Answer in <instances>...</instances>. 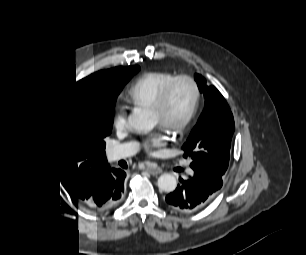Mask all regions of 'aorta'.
<instances>
[{
	"label": "aorta",
	"mask_w": 306,
	"mask_h": 255,
	"mask_svg": "<svg viewBox=\"0 0 306 255\" xmlns=\"http://www.w3.org/2000/svg\"><path fill=\"white\" fill-rule=\"evenodd\" d=\"M131 127L138 133H146L154 127L151 114L147 110L134 108L131 115ZM157 184L160 190L170 193L176 189L177 180L174 175L164 173L159 176Z\"/></svg>",
	"instance_id": "1"
}]
</instances>
